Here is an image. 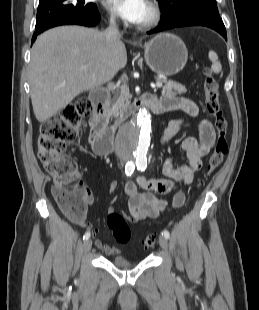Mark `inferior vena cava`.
Masks as SVG:
<instances>
[{"label":"inferior vena cava","mask_w":259,"mask_h":310,"mask_svg":"<svg viewBox=\"0 0 259 310\" xmlns=\"http://www.w3.org/2000/svg\"><path fill=\"white\" fill-rule=\"evenodd\" d=\"M104 36L109 44H115L120 41L121 34L113 19L110 20L109 27L104 31Z\"/></svg>","instance_id":"obj_1"}]
</instances>
